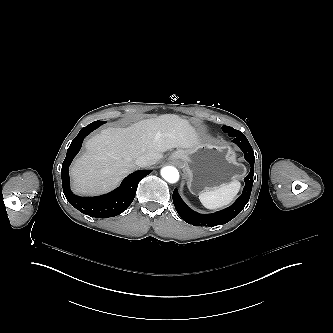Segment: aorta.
I'll use <instances>...</instances> for the list:
<instances>
[{
	"label": "aorta",
	"mask_w": 333,
	"mask_h": 333,
	"mask_svg": "<svg viewBox=\"0 0 333 333\" xmlns=\"http://www.w3.org/2000/svg\"><path fill=\"white\" fill-rule=\"evenodd\" d=\"M161 176L169 183H176L179 180V172L173 166H166L161 169Z\"/></svg>",
	"instance_id": "762f6f07"
}]
</instances>
